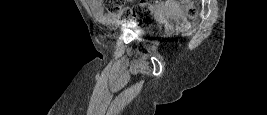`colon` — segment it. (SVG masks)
Wrapping results in <instances>:
<instances>
[{
  "instance_id": "1",
  "label": "colon",
  "mask_w": 267,
  "mask_h": 115,
  "mask_svg": "<svg viewBox=\"0 0 267 115\" xmlns=\"http://www.w3.org/2000/svg\"><path fill=\"white\" fill-rule=\"evenodd\" d=\"M159 0H142L133 6H126L123 0H104V7L110 15L118 18L120 21H146L150 18L153 6H156ZM177 2L188 6V15L193 18L196 15V9L190 0H177Z\"/></svg>"
}]
</instances>
